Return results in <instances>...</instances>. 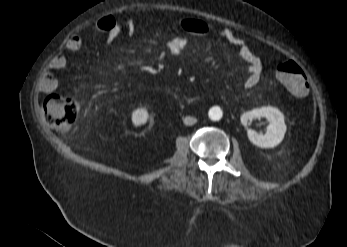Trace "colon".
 I'll use <instances>...</instances> for the list:
<instances>
[{
	"label": "colon",
	"instance_id": "obj_1",
	"mask_svg": "<svg viewBox=\"0 0 347 247\" xmlns=\"http://www.w3.org/2000/svg\"><path fill=\"white\" fill-rule=\"evenodd\" d=\"M275 75L293 95L304 97L308 93V81L304 70L293 60L276 63ZM80 106L76 99L58 93L49 94L44 101L45 120L61 133L71 131L77 121Z\"/></svg>",
	"mask_w": 347,
	"mask_h": 247
}]
</instances>
